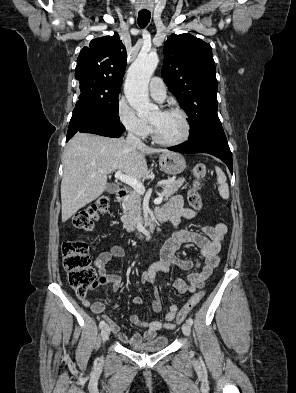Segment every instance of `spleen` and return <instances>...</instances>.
Instances as JSON below:
<instances>
[{"instance_id": "obj_1", "label": "spleen", "mask_w": 296, "mask_h": 393, "mask_svg": "<svg viewBox=\"0 0 296 393\" xmlns=\"http://www.w3.org/2000/svg\"><path fill=\"white\" fill-rule=\"evenodd\" d=\"M216 174H217V182L219 184V194L223 199L229 198V187L226 183V175L225 173L219 168L215 167Z\"/></svg>"}]
</instances>
